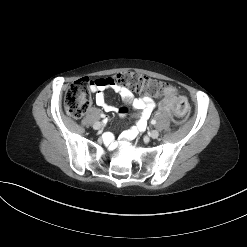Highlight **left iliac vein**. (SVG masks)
<instances>
[{
  "label": "left iliac vein",
  "mask_w": 247,
  "mask_h": 247,
  "mask_svg": "<svg viewBox=\"0 0 247 247\" xmlns=\"http://www.w3.org/2000/svg\"><path fill=\"white\" fill-rule=\"evenodd\" d=\"M149 136L153 139H156L159 136V132L157 130H152L150 131Z\"/></svg>",
  "instance_id": "left-iliac-vein-1"
}]
</instances>
